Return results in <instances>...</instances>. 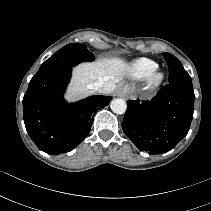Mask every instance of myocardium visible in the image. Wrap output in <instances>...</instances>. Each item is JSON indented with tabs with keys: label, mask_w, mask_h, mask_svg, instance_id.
<instances>
[{
	"label": "myocardium",
	"mask_w": 211,
	"mask_h": 211,
	"mask_svg": "<svg viewBox=\"0 0 211 211\" xmlns=\"http://www.w3.org/2000/svg\"><path fill=\"white\" fill-rule=\"evenodd\" d=\"M165 75L161 71H155L148 79L147 89L150 92L158 90L163 84Z\"/></svg>",
	"instance_id": "obj_1"
}]
</instances>
